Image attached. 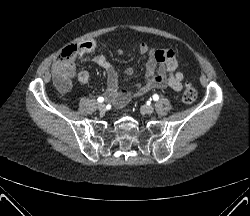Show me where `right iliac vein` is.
Wrapping results in <instances>:
<instances>
[{"label": "right iliac vein", "mask_w": 250, "mask_h": 216, "mask_svg": "<svg viewBox=\"0 0 250 216\" xmlns=\"http://www.w3.org/2000/svg\"><path fill=\"white\" fill-rule=\"evenodd\" d=\"M98 110L100 112H104L106 110V106L103 103L98 104Z\"/></svg>", "instance_id": "obj_1"}]
</instances>
